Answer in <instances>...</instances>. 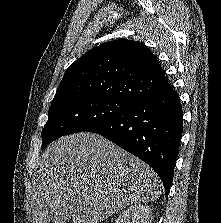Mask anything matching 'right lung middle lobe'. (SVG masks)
<instances>
[{
  "label": "right lung middle lobe",
  "mask_w": 221,
  "mask_h": 223,
  "mask_svg": "<svg viewBox=\"0 0 221 223\" xmlns=\"http://www.w3.org/2000/svg\"><path fill=\"white\" fill-rule=\"evenodd\" d=\"M133 103L105 96H80L52 103L42 131V148L63 135L103 123L126 111Z\"/></svg>",
  "instance_id": "1"
}]
</instances>
